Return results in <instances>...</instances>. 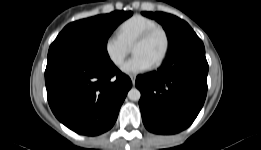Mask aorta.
I'll use <instances>...</instances> for the list:
<instances>
[{
    "label": "aorta",
    "mask_w": 261,
    "mask_h": 150,
    "mask_svg": "<svg viewBox=\"0 0 261 150\" xmlns=\"http://www.w3.org/2000/svg\"><path fill=\"white\" fill-rule=\"evenodd\" d=\"M127 96L132 101H138L141 97V93L137 88H132L129 90Z\"/></svg>",
    "instance_id": "1"
}]
</instances>
